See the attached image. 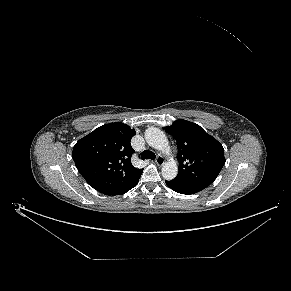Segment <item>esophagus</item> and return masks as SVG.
Returning <instances> with one entry per match:
<instances>
[{"mask_svg": "<svg viewBox=\"0 0 291 291\" xmlns=\"http://www.w3.org/2000/svg\"><path fill=\"white\" fill-rule=\"evenodd\" d=\"M157 165L162 166L165 163V159L163 156L158 155L155 159Z\"/></svg>", "mask_w": 291, "mask_h": 291, "instance_id": "obj_1", "label": "esophagus"}]
</instances>
